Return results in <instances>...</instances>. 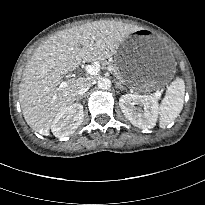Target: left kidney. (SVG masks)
Returning a JSON list of instances; mask_svg holds the SVG:
<instances>
[{"label":"left kidney","instance_id":"obj_1","mask_svg":"<svg viewBox=\"0 0 205 205\" xmlns=\"http://www.w3.org/2000/svg\"><path fill=\"white\" fill-rule=\"evenodd\" d=\"M119 105L125 117L136 127L152 129L159 114L158 101L151 95L125 94L119 99ZM141 106V108L135 107Z\"/></svg>","mask_w":205,"mask_h":205}]
</instances>
